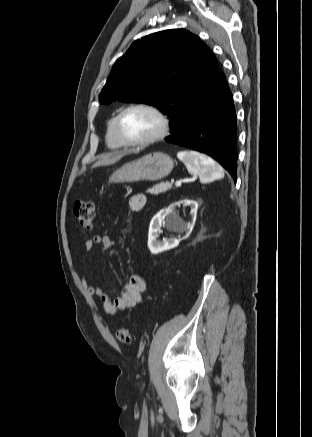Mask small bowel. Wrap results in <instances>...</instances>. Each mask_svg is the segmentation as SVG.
Wrapping results in <instances>:
<instances>
[{
    "instance_id": "1",
    "label": "small bowel",
    "mask_w": 312,
    "mask_h": 437,
    "mask_svg": "<svg viewBox=\"0 0 312 437\" xmlns=\"http://www.w3.org/2000/svg\"><path fill=\"white\" fill-rule=\"evenodd\" d=\"M146 204V197L143 194L133 195L129 200V208L132 211H140ZM94 245H99L103 251L111 249L115 241L108 235H96L85 243L86 251L90 252ZM83 285L86 291L99 299L103 310L109 315H115L119 311L132 309L142 301V294L146 290V283L139 275H133L126 283L120 296L112 299L102 288L93 285L89 279L83 277Z\"/></svg>"
}]
</instances>
